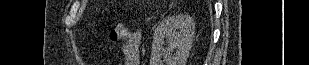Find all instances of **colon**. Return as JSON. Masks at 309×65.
<instances>
[{
    "label": "colon",
    "mask_w": 309,
    "mask_h": 65,
    "mask_svg": "<svg viewBox=\"0 0 309 65\" xmlns=\"http://www.w3.org/2000/svg\"><path fill=\"white\" fill-rule=\"evenodd\" d=\"M127 31L123 24L121 23H115L110 29H109V37L113 41H119L126 37Z\"/></svg>",
    "instance_id": "1"
}]
</instances>
